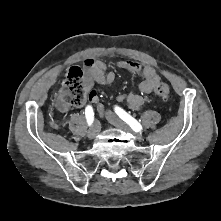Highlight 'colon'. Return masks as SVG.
Listing matches in <instances>:
<instances>
[{"mask_svg": "<svg viewBox=\"0 0 221 221\" xmlns=\"http://www.w3.org/2000/svg\"><path fill=\"white\" fill-rule=\"evenodd\" d=\"M91 86L92 78L89 72L80 67H72L62 82L60 100L70 106H81L86 101ZM154 92L162 100L170 97V88L164 82L158 83Z\"/></svg>", "mask_w": 221, "mask_h": 221, "instance_id": "obj_1", "label": "colon"}]
</instances>
